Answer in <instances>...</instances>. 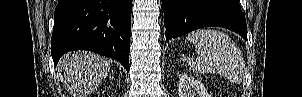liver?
I'll use <instances>...</instances> for the list:
<instances>
[{
	"instance_id": "6515ba94",
	"label": "liver",
	"mask_w": 302,
	"mask_h": 97,
	"mask_svg": "<svg viewBox=\"0 0 302 97\" xmlns=\"http://www.w3.org/2000/svg\"><path fill=\"white\" fill-rule=\"evenodd\" d=\"M57 70L72 97H88L107 77L110 61L92 52H70L60 59Z\"/></svg>"
}]
</instances>
